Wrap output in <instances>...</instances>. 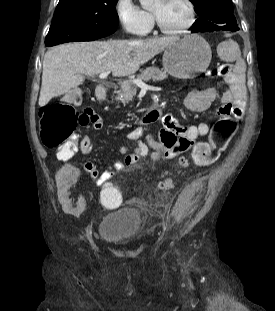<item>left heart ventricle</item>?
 I'll use <instances>...</instances> for the list:
<instances>
[{"label":"left heart ventricle","mask_w":275,"mask_h":311,"mask_svg":"<svg viewBox=\"0 0 275 311\" xmlns=\"http://www.w3.org/2000/svg\"><path fill=\"white\" fill-rule=\"evenodd\" d=\"M151 11L168 29L179 28L189 19V10L183 0H155Z\"/></svg>","instance_id":"b2bd125f"}]
</instances>
